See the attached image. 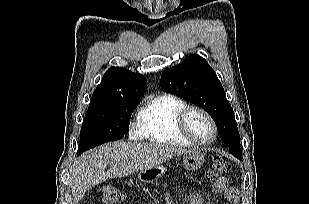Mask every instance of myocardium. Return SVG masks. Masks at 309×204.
I'll list each match as a JSON object with an SVG mask.
<instances>
[{
	"label": "myocardium",
	"instance_id": "obj_1",
	"mask_svg": "<svg viewBox=\"0 0 309 204\" xmlns=\"http://www.w3.org/2000/svg\"><path fill=\"white\" fill-rule=\"evenodd\" d=\"M199 112L202 114L207 121L209 122L211 128H212V137L208 141H199L197 138L193 136L191 133L189 127H188V116L191 112ZM177 127L180 131V133L192 144L197 146H209L211 145L216 137H217V126L215 121L213 120L212 116L203 108L197 106V105H186L184 108L181 109L177 116Z\"/></svg>",
	"mask_w": 309,
	"mask_h": 204
}]
</instances>
